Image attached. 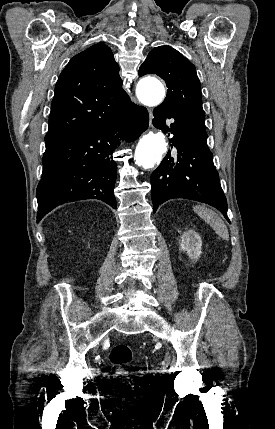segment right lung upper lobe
Masks as SVG:
<instances>
[{"label": "right lung upper lobe", "mask_w": 275, "mask_h": 429, "mask_svg": "<svg viewBox=\"0 0 275 429\" xmlns=\"http://www.w3.org/2000/svg\"><path fill=\"white\" fill-rule=\"evenodd\" d=\"M131 100L110 48L97 43L74 56L60 74L45 142L119 118Z\"/></svg>", "instance_id": "obj_1"}]
</instances>
